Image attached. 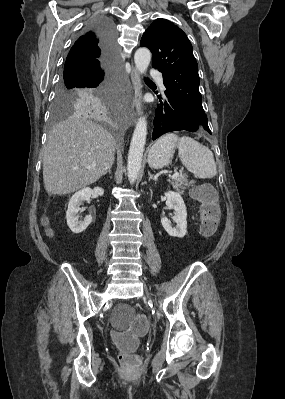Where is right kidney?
Masks as SVG:
<instances>
[{
	"label": "right kidney",
	"instance_id": "1",
	"mask_svg": "<svg viewBox=\"0 0 285 399\" xmlns=\"http://www.w3.org/2000/svg\"><path fill=\"white\" fill-rule=\"evenodd\" d=\"M96 194L102 196L104 194V189L101 187H95L91 189L89 187L84 188L76 192L70 199L68 203V209L66 211L67 225L70 230L79 234L83 232L89 224L92 222V216L87 215L83 221H79V212L81 211L80 205L83 201H90L91 195Z\"/></svg>",
	"mask_w": 285,
	"mask_h": 399
}]
</instances>
